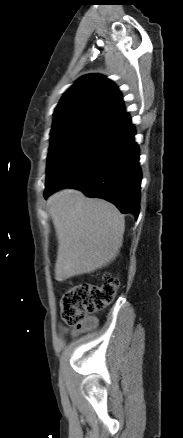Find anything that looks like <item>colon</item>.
I'll use <instances>...</instances> for the list:
<instances>
[{
	"label": "colon",
	"instance_id": "1",
	"mask_svg": "<svg viewBox=\"0 0 183 438\" xmlns=\"http://www.w3.org/2000/svg\"><path fill=\"white\" fill-rule=\"evenodd\" d=\"M119 287L118 280L105 275L101 284L82 282L66 289L61 297V317L69 326H79L87 314L109 305Z\"/></svg>",
	"mask_w": 183,
	"mask_h": 438
}]
</instances>
